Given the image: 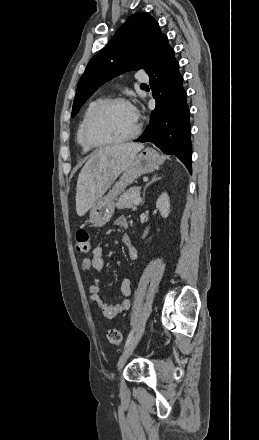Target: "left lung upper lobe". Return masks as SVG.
I'll use <instances>...</instances> for the list:
<instances>
[{
  "instance_id": "obj_1",
  "label": "left lung upper lobe",
  "mask_w": 259,
  "mask_h": 440,
  "mask_svg": "<svg viewBox=\"0 0 259 440\" xmlns=\"http://www.w3.org/2000/svg\"><path fill=\"white\" fill-rule=\"evenodd\" d=\"M165 38L148 13L131 15L88 63L78 83L71 116L105 82L126 71L146 70Z\"/></svg>"
}]
</instances>
